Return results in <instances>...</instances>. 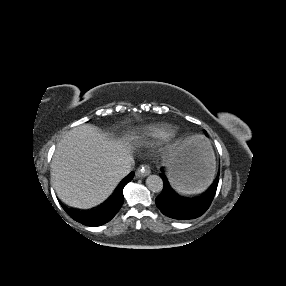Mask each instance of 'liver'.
Instances as JSON below:
<instances>
[{
    "label": "liver",
    "instance_id": "liver-1",
    "mask_svg": "<svg viewBox=\"0 0 286 286\" xmlns=\"http://www.w3.org/2000/svg\"><path fill=\"white\" fill-rule=\"evenodd\" d=\"M131 140H109L87 124L68 131L58 142L51 162V178L60 200L88 209L107 199L122 179L115 173L116 166L131 157ZM180 145L177 143L169 154Z\"/></svg>",
    "mask_w": 286,
    "mask_h": 286
}]
</instances>
